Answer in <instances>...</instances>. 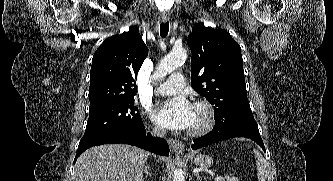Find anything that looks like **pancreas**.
<instances>
[{"label": "pancreas", "instance_id": "pancreas-1", "mask_svg": "<svg viewBox=\"0 0 333 181\" xmlns=\"http://www.w3.org/2000/svg\"><path fill=\"white\" fill-rule=\"evenodd\" d=\"M223 181H239L238 178L236 177H229V176H225L223 178Z\"/></svg>", "mask_w": 333, "mask_h": 181}]
</instances>
